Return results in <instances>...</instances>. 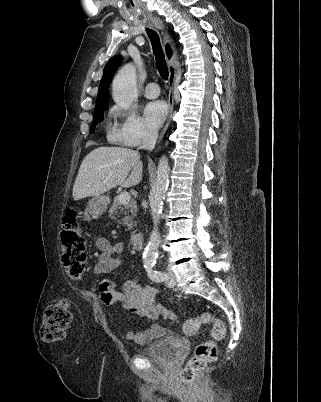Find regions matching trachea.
<instances>
[{"label":"trachea","instance_id":"1","mask_svg":"<svg viewBox=\"0 0 321 402\" xmlns=\"http://www.w3.org/2000/svg\"><path fill=\"white\" fill-rule=\"evenodd\" d=\"M147 35L151 41L152 49L156 59V66L160 76L167 81L169 77V72L165 60V55L162 50L159 35L156 31L146 28Z\"/></svg>","mask_w":321,"mask_h":402}]
</instances>
